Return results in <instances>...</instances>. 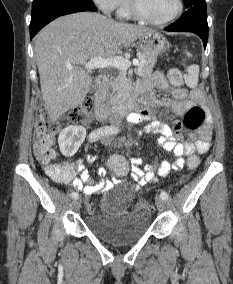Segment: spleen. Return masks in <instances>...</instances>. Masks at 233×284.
Listing matches in <instances>:
<instances>
[{
	"label": "spleen",
	"mask_w": 233,
	"mask_h": 284,
	"mask_svg": "<svg viewBox=\"0 0 233 284\" xmlns=\"http://www.w3.org/2000/svg\"><path fill=\"white\" fill-rule=\"evenodd\" d=\"M186 55L191 57V53L186 51ZM198 77H199V66L198 65H191L188 68V75L185 78L186 85L194 88L198 84Z\"/></svg>",
	"instance_id": "spleen-1"
}]
</instances>
